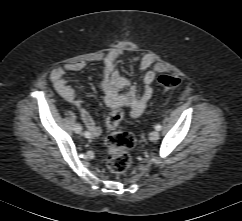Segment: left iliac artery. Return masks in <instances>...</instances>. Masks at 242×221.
<instances>
[{
	"instance_id": "obj_1",
	"label": "left iliac artery",
	"mask_w": 242,
	"mask_h": 221,
	"mask_svg": "<svg viewBox=\"0 0 242 221\" xmlns=\"http://www.w3.org/2000/svg\"><path fill=\"white\" fill-rule=\"evenodd\" d=\"M161 128H162V126H161L160 124H157V125L155 126V129H156L157 131H160Z\"/></svg>"
}]
</instances>
